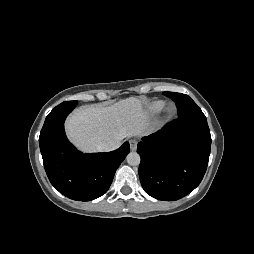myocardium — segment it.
I'll return each mask as SVG.
<instances>
[{"label":"myocardium","mask_w":254,"mask_h":254,"mask_svg":"<svg viewBox=\"0 0 254 254\" xmlns=\"http://www.w3.org/2000/svg\"><path fill=\"white\" fill-rule=\"evenodd\" d=\"M167 117H172L176 112V107L173 104H170L165 109Z\"/></svg>","instance_id":"obj_1"}]
</instances>
